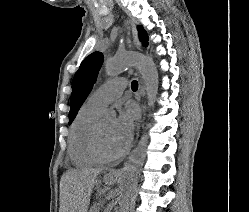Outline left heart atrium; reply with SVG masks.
Listing matches in <instances>:
<instances>
[{
  "label": "left heart atrium",
  "instance_id": "39dd6f15",
  "mask_svg": "<svg viewBox=\"0 0 249 212\" xmlns=\"http://www.w3.org/2000/svg\"><path fill=\"white\" fill-rule=\"evenodd\" d=\"M137 113L132 105H128L116 118L112 131V141L119 152L125 151L130 144Z\"/></svg>",
  "mask_w": 249,
  "mask_h": 212
}]
</instances>
